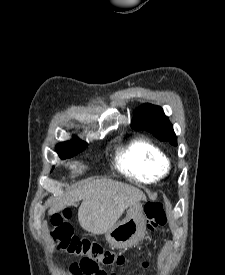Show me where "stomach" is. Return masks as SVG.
Listing matches in <instances>:
<instances>
[{
    "instance_id": "0dacf381",
    "label": "stomach",
    "mask_w": 225,
    "mask_h": 275,
    "mask_svg": "<svg viewBox=\"0 0 225 275\" xmlns=\"http://www.w3.org/2000/svg\"><path fill=\"white\" fill-rule=\"evenodd\" d=\"M145 231L146 221L143 205L136 202L130 206L126 217L105 233V238L110 246L124 249L140 242Z\"/></svg>"
}]
</instances>
